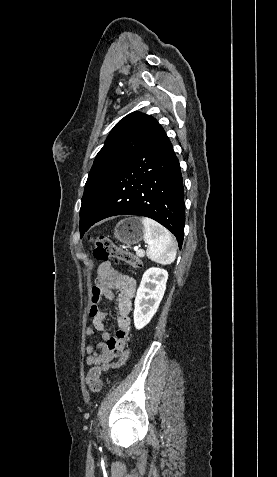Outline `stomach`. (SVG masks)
Listing matches in <instances>:
<instances>
[{"mask_svg":"<svg viewBox=\"0 0 277 477\" xmlns=\"http://www.w3.org/2000/svg\"><path fill=\"white\" fill-rule=\"evenodd\" d=\"M115 238L124 245L139 243L144 236V226L138 217H129L118 222L114 228Z\"/></svg>","mask_w":277,"mask_h":477,"instance_id":"1","label":"stomach"}]
</instances>
